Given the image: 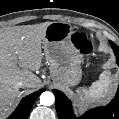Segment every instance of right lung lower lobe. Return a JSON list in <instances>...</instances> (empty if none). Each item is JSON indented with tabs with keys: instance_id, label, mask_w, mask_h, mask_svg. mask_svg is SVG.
I'll return each instance as SVG.
<instances>
[{
	"instance_id": "right-lung-lower-lobe-1",
	"label": "right lung lower lobe",
	"mask_w": 119,
	"mask_h": 119,
	"mask_svg": "<svg viewBox=\"0 0 119 119\" xmlns=\"http://www.w3.org/2000/svg\"><path fill=\"white\" fill-rule=\"evenodd\" d=\"M42 91L43 89L24 97L14 113L7 119H27L36 98Z\"/></svg>"
}]
</instances>
